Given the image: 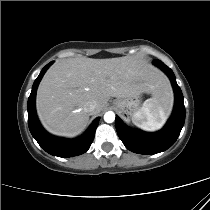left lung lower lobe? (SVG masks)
Listing matches in <instances>:
<instances>
[{
  "instance_id": "1",
  "label": "left lung lower lobe",
  "mask_w": 210,
  "mask_h": 210,
  "mask_svg": "<svg viewBox=\"0 0 210 210\" xmlns=\"http://www.w3.org/2000/svg\"><path fill=\"white\" fill-rule=\"evenodd\" d=\"M153 63L168 75L175 93L173 114L165 127L158 132L147 133L131 130L117 116L115 119L118 136L125 147L139 154H156L167 150L177 140L185 121L183 95L177 85L174 73L160 60H154Z\"/></svg>"
}]
</instances>
